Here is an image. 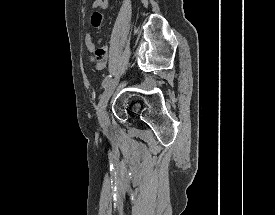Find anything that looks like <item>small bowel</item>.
<instances>
[{
    "mask_svg": "<svg viewBox=\"0 0 275 215\" xmlns=\"http://www.w3.org/2000/svg\"><path fill=\"white\" fill-rule=\"evenodd\" d=\"M107 6H108V0H94V2L91 5V9H97V8L105 9L107 8ZM84 41L88 52L93 54L96 50V43L92 40L90 33H86ZM90 59L94 61L93 56H91ZM105 66H106L105 61L99 60L96 62V68L98 70L105 68Z\"/></svg>",
    "mask_w": 275,
    "mask_h": 215,
    "instance_id": "obj_1",
    "label": "small bowel"
}]
</instances>
